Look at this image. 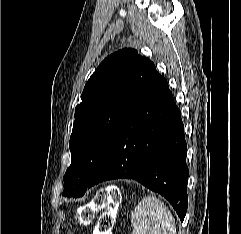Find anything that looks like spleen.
<instances>
[{
    "label": "spleen",
    "instance_id": "spleen-1",
    "mask_svg": "<svg viewBox=\"0 0 241 234\" xmlns=\"http://www.w3.org/2000/svg\"><path fill=\"white\" fill-rule=\"evenodd\" d=\"M131 234H176L175 219L155 196L144 197L131 213Z\"/></svg>",
    "mask_w": 241,
    "mask_h": 234
}]
</instances>
